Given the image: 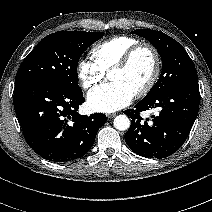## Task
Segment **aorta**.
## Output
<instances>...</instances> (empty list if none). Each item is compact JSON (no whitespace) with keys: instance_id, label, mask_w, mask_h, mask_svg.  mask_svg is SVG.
Wrapping results in <instances>:
<instances>
[{"instance_id":"1","label":"aorta","mask_w":212,"mask_h":212,"mask_svg":"<svg viewBox=\"0 0 212 212\" xmlns=\"http://www.w3.org/2000/svg\"><path fill=\"white\" fill-rule=\"evenodd\" d=\"M114 127L119 131L127 130L130 127V120L126 115H118L114 119Z\"/></svg>"}]
</instances>
